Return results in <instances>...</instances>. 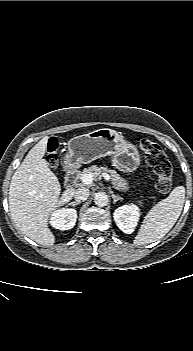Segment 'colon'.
<instances>
[{"label":"colon","instance_id":"obj_1","mask_svg":"<svg viewBox=\"0 0 193 351\" xmlns=\"http://www.w3.org/2000/svg\"><path fill=\"white\" fill-rule=\"evenodd\" d=\"M136 143L144 152L147 164L152 168L157 176L156 188L162 194H167L172 188V166L162 148L146 139L136 138ZM58 143L51 139L47 146V161L53 168L57 167L59 159L57 155Z\"/></svg>","mask_w":193,"mask_h":351}]
</instances>
